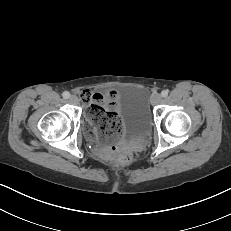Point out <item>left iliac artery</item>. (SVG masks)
<instances>
[{
    "label": "left iliac artery",
    "mask_w": 231,
    "mask_h": 231,
    "mask_svg": "<svg viewBox=\"0 0 231 231\" xmlns=\"http://www.w3.org/2000/svg\"><path fill=\"white\" fill-rule=\"evenodd\" d=\"M161 96H162V97H167V96H168V90H163V91L161 92Z\"/></svg>",
    "instance_id": "1"
}]
</instances>
